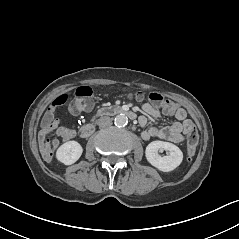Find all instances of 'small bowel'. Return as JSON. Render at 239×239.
<instances>
[{"instance_id": "obj_1", "label": "small bowel", "mask_w": 239, "mask_h": 239, "mask_svg": "<svg viewBox=\"0 0 239 239\" xmlns=\"http://www.w3.org/2000/svg\"><path fill=\"white\" fill-rule=\"evenodd\" d=\"M143 111L153 118H159L161 115L159 108L151 103H145L143 105ZM165 114L173 115L176 121L162 128L155 126L145 128L142 132V138L144 140L157 137L162 140L180 143L184 141L190 131L195 130L193 122L187 118V112L183 108H177L172 114ZM138 121L142 127H145L147 124L145 116H140ZM53 132L64 141L71 140L76 136V131L68 128L59 119H53L50 123L44 124L39 132L38 140L42 157L47 162L51 161L54 150L60 145L58 139L49 140L48 136Z\"/></svg>"}]
</instances>
